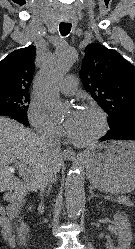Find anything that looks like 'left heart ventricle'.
<instances>
[{"mask_svg": "<svg viewBox=\"0 0 135 249\" xmlns=\"http://www.w3.org/2000/svg\"><path fill=\"white\" fill-rule=\"evenodd\" d=\"M99 127L97 115L88 109H83L70 135L77 140H86L93 136Z\"/></svg>", "mask_w": 135, "mask_h": 249, "instance_id": "obj_1", "label": "left heart ventricle"}]
</instances>
